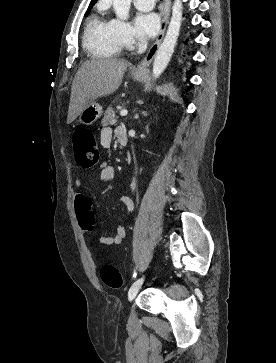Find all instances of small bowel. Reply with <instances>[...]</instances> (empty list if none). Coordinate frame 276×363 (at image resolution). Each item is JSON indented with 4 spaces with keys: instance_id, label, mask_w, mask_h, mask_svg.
Wrapping results in <instances>:
<instances>
[{
    "instance_id": "1",
    "label": "small bowel",
    "mask_w": 276,
    "mask_h": 363,
    "mask_svg": "<svg viewBox=\"0 0 276 363\" xmlns=\"http://www.w3.org/2000/svg\"><path fill=\"white\" fill-rule=\"evenodd\" d=\"M120 132H125L122 127L116 128L114 131L110 127H105L102 129L100 133V141L101 145L104 148H109L113 137L118 139V134ZM99 177L101 181L110 182L115 177V169L113 166L107 164L106 162H102L99 165ZM76 187L82 188L84 185L83 177H78L76 179ZM131 189L133 192L137 190V179L135 176L131 179ZM120 202L127 208L129 212H133L135 209L134 200L128 195H122L120 197ZM74 204L76 211L83 215V220L91 223V227L88 229H84L87 233H91L94 230V218L93 213L91 212V201L90 199L82 192L75 193L74 196ZM126 237V229L123 226H118L116 229V234L114 236H102L97 235L96 240L98 243L102 245H118L121 244Z\"/></svg>"
}]
</instances>
